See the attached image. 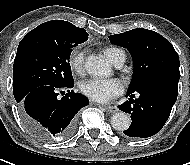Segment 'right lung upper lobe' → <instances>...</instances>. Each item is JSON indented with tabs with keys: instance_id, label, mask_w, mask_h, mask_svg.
<instances>
[{
	"instance_id": "cb5924a9",
	"label": "right lung upper lobe",
	"mask_w": 190,
	"mask_h": 165,
	"mask_svg": "<svg viewBox=\"0 0 190 165\" xmlns=\"http://www.w3.org/2000/svg\"><path fill=\"white\" fill-rule=\"evenodd\" d=\"M55 21L64 22L70 29H80V28H77L76 26H74L73 24H71L70 22H67V21H63V20H55Z\"/></svg>"
}]
</instances>
